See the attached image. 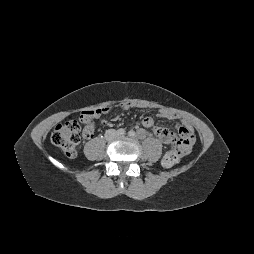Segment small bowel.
Returning <instances> with one entry per match:
<instances>
[{
    "mask_svg": "<svg viewBox=\"0 0 254 254\" xmlns=\"http://www.w3.org/2000/svg\"><path fill=\"white\" fill-rule=\"evenodd\" d=\"M121 107L124 109H129L132 107V105L128 104V103H123V104H121ZM100 110H101V112H98L95 115L90 116L88 121L94 124L95 118H98L102 114H106L107 112H109V108H103ZM158 116H160L161 118H164V119H169V120L177 118V115L175 113L170 112L168 110H164V109H162L158 112ZM103 123L106 124L105 121H103ZM142 125L145 128L153 129L155 135L164 144H171L176 140V137L171 130L166 129L164 127L157 126L152 117L144 118L142 121ZM176 128H177V132L179 134V138L175 142V149L180 153L181 156H186L191 152L192 146L194 143L195 135H194L193 129L188 123L179 124V125H177ZM164 166L171 167V166H167L165 164H164Z\"/></svg>",
    "mask_w": 254,
    "mask_h": 254,
    "instance_id": "1",
    "label": "small bowel"
}]
</instances>
